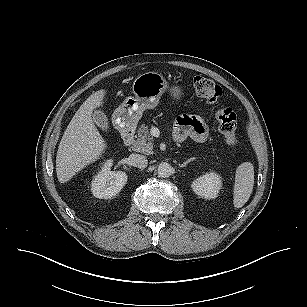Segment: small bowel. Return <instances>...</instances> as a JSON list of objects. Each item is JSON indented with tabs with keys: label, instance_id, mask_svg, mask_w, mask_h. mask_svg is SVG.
<instances>
[{
	"label": "small bowel",
	"instance_id": "1",
	"mask_svg": "<svg viewBox=\"0 0 307 307\" xmlns=\"http://www.w3.org/2000/svg\"><path fill=\"white\" fill-rule=\"evenodd\" d=\"M174 138L177 142H182L187 138L197 142H205L208 138V127L198 117L181 116L177 119L174 127Z\"/></svg>",
	"mask_w": 307,
	"mask_h": 307
}]
</instances>
